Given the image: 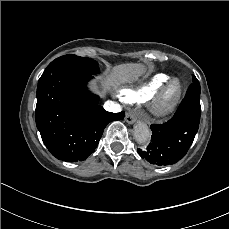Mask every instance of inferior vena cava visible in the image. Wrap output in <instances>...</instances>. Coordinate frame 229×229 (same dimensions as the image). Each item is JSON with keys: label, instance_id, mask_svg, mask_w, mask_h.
Returning <instances> with one entry per match:
<instances>
[{"label": "inferior vena cava", "instance_id": "inferior-vena-cava-1", "mask_svg": "<svg viewBox=\"0 0 229 229\" xmlns=\"http://www.w3.org/2000/svg\"><path fill=\"white\" fill-rule=\"evenodd\" d=\"M103 107L108 112H112V113L121 112V107L118 104L114 103L113 101H106Z\"/></svg>", "mask_w": 229, "mask_h": 229}]
</instances>
